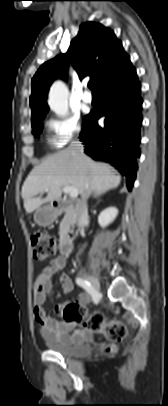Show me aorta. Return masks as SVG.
I'll use <instances>...</instances> for the list:
<instances>
[{"instance_id":"1","label":"aorta","mask_w":168,"mask_h":406,"mask_svg":"<svg viewBox=\"0 0 168 406\" xmlns=\"http://www.w3.org/2000/svg\"><path fill=\"white\" fill-rule=\"evenodd\" d=\"M48 105L59 116L68 113V89L62 81H55L49 91Z\"/></svg>"}]
</instances>
